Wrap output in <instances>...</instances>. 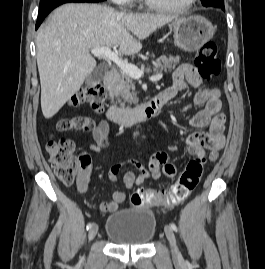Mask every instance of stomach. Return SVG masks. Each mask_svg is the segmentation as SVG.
<instances>
[{"label":"stomach","instance_id":"obj_1","mask_svg":"<svg viewBox=\"0 0 265 269\" xmlns=\"http://www.w3.org/2000/svg\"><path fill=\"white\" fill-rule=\"evenodd\" d=\"M169 27L175 44L186 52L199 50L215 33L212 23L198 15L177 17Z\"/></svg>","mask_w":265,"mask_h":269}]
</instances>
